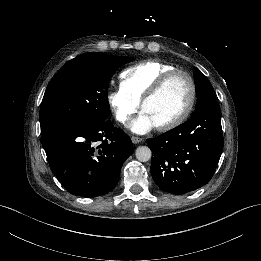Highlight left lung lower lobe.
Here are the masks:
<instances>
[{"label":"left lung lower lobe","mask_w":261,"mask_h":261,"mask_svg":"<svg viewBox=\"0 0 261 261\" xmlns=\"http://www.w3.org/2000/svg\"><path fill=\"white\" fill-rule=\"evenodd\" d=\"M147 144L154 150L151 174L159 188L176 195L195 191L212 179L222 153L220 111L206 107Z\"/></svg>","instance_id":"0a47b994"}]
</instances>
